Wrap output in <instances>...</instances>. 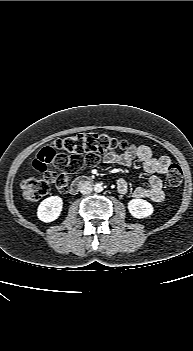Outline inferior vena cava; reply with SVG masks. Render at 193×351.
<instances>
[{
  "instance_id": "1",
  "label": "inferior vena cava",
  "mask_w": 193,
  "mask_h": 351,
  "mask_svg": "<svg viewBox=\"0 0 193 351\" xmlns=\"http://www.w3.org/2000/svg\"><path fill=\"white\" fill-rule=\"evenodd\" d=\"M93 190V187H92V184L86 182V183H83L80 187V192L83 194V195H87V194H90Z\"/></svg>"
}]
</instances>
